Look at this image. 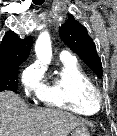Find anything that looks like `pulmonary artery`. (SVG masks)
Wrapping results in <instances>:
<instances>
[{
  "label": "pulmonary artery",
  "mask_w": 117,
  "mask_h": 136,
  "mask_svg": "<svg viewBox=\"0 0 117 136\" xmlns=\"http://www.w3.org/2000/svg\"><path fill=\"white\" fill-rule=\"evenodd\" d=\"M60 59L61 60H73V56L68 50L63 49L60 53Z\"/></svg>",
  "instance_id": "1"
}]
</instances>
